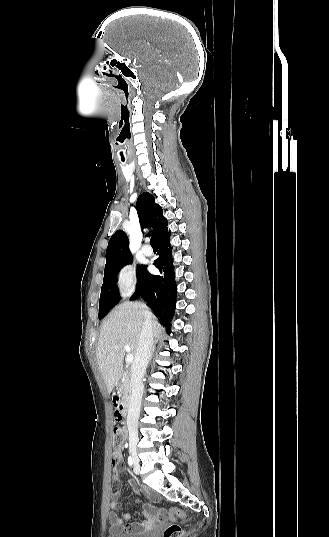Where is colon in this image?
I'll return each instance as SVG.
<instances>
[{
    "instance_id": "obj_1",
    "label": "colon",
    "mask_w": 329,
    "mask_h": 537,
    "mask_svg": "<svg viewBox=\"0 0 329 537\" xmlns=\"http://www.w3.org/2000/svg\"><path fill=\"white\" fill-rule=\"evenodd\" d=\"M113 445L115 448H121L126 439L125 430L119 425H115L112 433ZM168 516L170 519L175 520L182 518L184 513L180 510L172 509L169 511ZM164 537H181L182 528L175 523L169 524L164 530Z\"/></svg>"
}]
</instances>
